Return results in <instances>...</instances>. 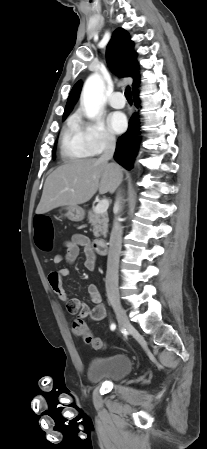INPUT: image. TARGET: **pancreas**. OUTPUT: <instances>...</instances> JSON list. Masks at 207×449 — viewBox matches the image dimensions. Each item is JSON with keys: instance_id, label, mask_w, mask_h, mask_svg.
Here are the masks:
<instances>
[{"instance_id": "pancreas-1", "label": "pancreas", "mask_w": 207, "mask_h": 449, "mask_svg": "<svg viewBox=\"0 0 207 449\" xmlns=\"http://www.w3.org/2000/svg\"><path fill=\"white\" fill-rule=\"evenodd\" d=\"M88 220L93 226V234L95 237L106 236L108 232V214L97 213L95 208L88 212Z\"/></svg>"}]
</instances>
